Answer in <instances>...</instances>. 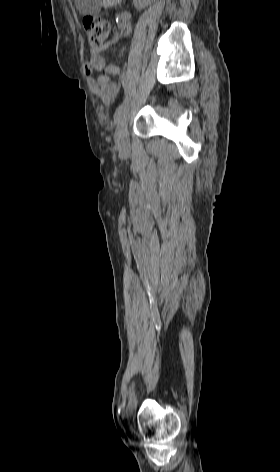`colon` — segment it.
Masks as SVG:
<instances>
[{
    "mask_svg": "<svg viewBox=\"0 0 280 472\" xmlns=\"http://www.w3.org/2000/svg\"><path fill=\"white\" fill-rule=\"evenodd\" d=\"M83 26L87 34L88 43L92 49L103 47L111 34V23L94 16H86L83 19ZM118 29L122 33L128 31L125 24H118Z\"/></svg>",
    "mask_w": 280,
    "mask_h": 472,
    "instance_id": "obj_1",
    "label": "colon"
}]
</instances>
